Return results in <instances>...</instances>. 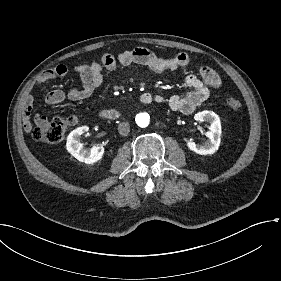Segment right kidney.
I'll use <instances>...</instances> for the list:
<instances>
[{
  "label": "right kidney",
  "instance_id": "obj_1",
  "mask_svg": "<svg viewBox=\"0 0 281 281\" xmlns=\"http://www.w3.org/2000/svg\"><path fill=\"white\" fill-rule=\"evenodd\" d=\"M89 130L88 126L78 127L73 130L67 137L66 147L68 152L80 162L87 164L100 160L104 153L102 145H94L92 148H84L80 142L81 135Z\"/></svg>",
  "mask_w": 281,
  "mask_h": 281
}]
</instances>
